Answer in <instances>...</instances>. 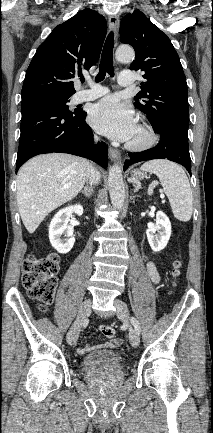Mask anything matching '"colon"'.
<instances>
[{
	"mask_svg": "<svg viewBox=\"0 0 213 433\" xmlns=\"http://www.w3.org/2000/svg\"><path fill=\"white\" fill-rule=\"evenodd\" d=\"M182 263L174 262L172 276H180ZM59 270V257L57 254H48L37 257L29 255L22 264V284L29 297L41 303L45 309L53 300L57 287V273ZM101 333L106 338H114L116 331L111 325H101Z\"/></svg>",
	"mask_w": 213,
	"mask_h": 433,
	"instance_id": "1",
	"label": "colon"
}]
</instances>
